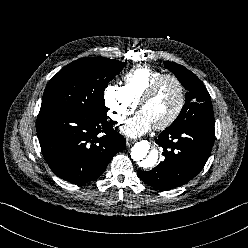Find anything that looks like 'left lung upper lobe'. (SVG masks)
Here are the masks:
<instances>
[{"label": "left lung upper lobe", "mask_w": 248, "mask_h": 248, "mask_svg": "<svg viewBox=\"0 0 248 248\" xmlns=\"http://www.w3.org/2000/svg\"><path fill=\"white\" fill-rule=\"evenodd\" d=\"M164 65L175 74L185 89L188 90L185 105L169 127L213 124L214 115L210 95L201 80L182 65L169 61H165Z\"/></svg>", "instance_id": "left-lung-upper-lobe-1"}]
</instances>
